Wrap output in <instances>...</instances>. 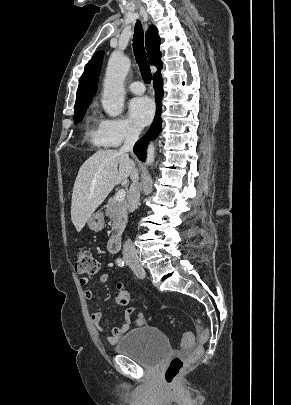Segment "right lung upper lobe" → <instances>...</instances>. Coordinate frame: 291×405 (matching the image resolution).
Wrapping results in <instances>:
<instances>
[{
	"instance_id": "cb5924a9",
	"label": "right lung upper lobe",
	"mask_w": 291,
	"mask_h": 405,
	"mask_svg": "<svg viewBox=\"0 0 291 405\" xmlns=\"http://www.w3.org/2000/svg\"><path fill=\"white\" fill-rule=\"evenodd\" d=\"M145 39L149 63L157 67V72L155 74H158L163 65L161 61V52L159 50L160 37L158 36V30L154 25L149 27ZM103 56L104 52L98 51L86 65L77 90L75 111L87 108L96 94Z\"/></svg>"
}]
</instances>
